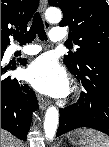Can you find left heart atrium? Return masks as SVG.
Segmentation results:
<instances>
[{
  "label": "left heart atrium",
  "instance_id": "39dd6f15",
  "mask_svg": "<svg viewBox=\"0 0 109 147\" xmlns=\"http://www.w3.org/2000/svg\"><path fill=\"white\" fill-rule=\"evenodd\" d=\"M26 79L37 90L52 97H64L70 91L66 70L51 55L35 60L26 71Z\"/></svg>",
  "mask_w": 109,
  "mask_h": 147
}]
</instances>
